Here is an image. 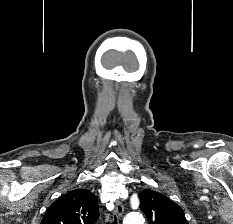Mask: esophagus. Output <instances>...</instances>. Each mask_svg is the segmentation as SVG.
<instances>
[{"mask_svg": "<svg viewBox=\"0 0 233 224\" xmlns=\"http://www.w3.org/2000/svg\"><path fill=\"white\" fill-rule=\"evenodd\" d=\"M123 212H124L123 204L121 202H117L116 203V208L114 210V215H116L117 217L120 218L122 216Z\"/></svg>", "mask_w": 233, "mask_h": 224, "instance_id": "esophagus-1", "label": "esophagus"}]
</instances>
